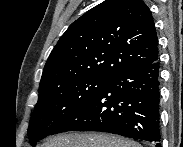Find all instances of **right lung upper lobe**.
I'll return each mask as SVG.
<instances>
[{
  "mask_svg": "<svg viewBox=\"0 0 183 147\" xmlns=\"http://www.w3.org/2000/svg\"><path fill=\"white\" fill-rule=\"evenodd\" d=\"M151 11L142 0H105L76 21L57 42L39 89L86 77L110 79L158 59Z\"/></svg>",
  "mask_w": 183,
  "mask_h": 147,
  "instance_id": "right-lung-upper-lobe-1",
  "label": "right lung upper lobe"
}]
</instances>
